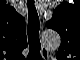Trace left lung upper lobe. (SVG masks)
<instances>
[{"instance_id": "1", "label": "left lung upper lobe", "mask_w": 80, "mask_h": 60, "mask_svg": "<svg viewBox=\"0 0 80 60\" xmlns=\"http://www.w3.org/2000/svg\"><path fill=\"white\" fill-rule=\"evenodd\" d=\"M69 8V3H62L55 9L52 19L47 22V27L56 30L62 38L60 49L70 48L69 36L71 34V27L69 22Z\"/></svg>"}]
</instances>
